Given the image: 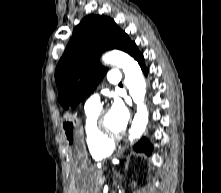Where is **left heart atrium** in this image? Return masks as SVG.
<instances>
[{
	"instance_id": "obj_1",
	"label": "left heart atrium",
	"mask_w": 221,
	"mask_h": 193,
	"mask_svg": "<svg viewBox=\"0 0 221 193\" xmlns=\"http://www.w3.org/2000/svg\"><path fill=\"white\" fill-rule=\"evenodd\" d=\"M109 113L120 131L124 130L130 117L129 110L124 102L120 99L114 100Z\"/></svg>"
}]
</instances>
